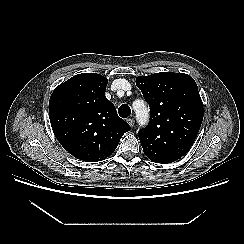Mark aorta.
<instances>
[{"label":"aorta","mask_w":244,"mask_h":244,"mask_svg":"<svg viewBox=\"0 0 244 244\" xmlns=\"http://www.w3.org/2000/svg\"><path fill=\"white\" fill-rule=\"evenodd\" d=\"M136 115L141 124L146 122L148 118V112L144 105L136 109Z\"/></svg>","instance_id":"762f6f07"}]
</instances>
